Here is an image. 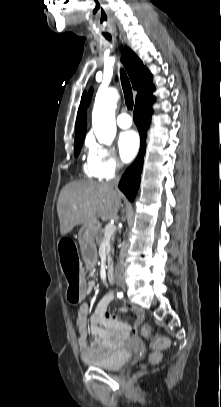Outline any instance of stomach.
Returning a JSON list of instances; mask_svg holds the SVG:
<instances>
[{
    "label": "stomach",
    "instance_id": "1",
    "mask_svg": "<svg viewBox=\"0 0 221 407\" xmlns=\"http://www.w3.org/2000/svg\"><path fill=\"white\" fill-rule=\"evenodd\" d=\"M85 228L92 229L95 228V226L91 224H85Z\"/></svg>",
    "mask_w": 221,
    "mask_h": 407
}]
</instances>
